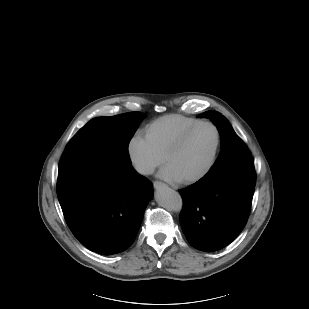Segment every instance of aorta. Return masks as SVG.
<instances>
[{
  "label": "aorta",
  "mask_w": 309,
  "mask_h": 309,
  "mask_svg": "<svg viewBox=\"0 0 309 309\" xmlns=\"http://www.w3.org/2000/svg\"><path fill=\"white\" fill-rule=\"evenodd\" d=\"M154 197L158 205L168 211L178 212L182 208L183 203L180 194L167 185L158 187Z\"/></svg>",
  "instance_id": "aorta-1"
}]
</instances>
